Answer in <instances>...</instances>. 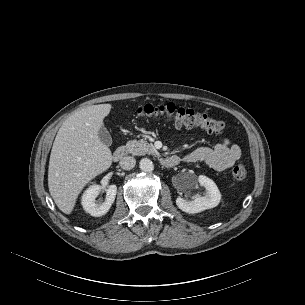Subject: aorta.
Returning a JSON list of instances; mask_svg holds the SVG:
<instances>
[{
	"instance_id": "1",
	"label": "aorta",
	"mask_w": 305,
	"mask_h": 305,
	"mask_svg": "<svg viewBox=\"0 0 305 305\" xmlns=\"http://www.w3.org/2000/svg\"><path fill=\"white\" fill-rule=\"evenodd\" d=\"M139 167L144 172H152L154 169L153 162L148 158H143L140 160Z\"/></svg>"
}]
</instances>
